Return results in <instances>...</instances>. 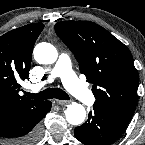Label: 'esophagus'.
Here are the masks:
<instances>
[{"label":"esophagus","mask_w":145,"mask_h":145,"mask_svg":"<svg viewBox=\"0 0 145 145\" xmlns=\"http://www.w3.org/2000/svg\"><path fill=\"white\" fill-rule=\"evenodd\" d=\"M56 102H57V104H59V105H65V104L68 103L67 100H56Z\"/></svg>","instance_id":"obj_1"}]
</instances>
